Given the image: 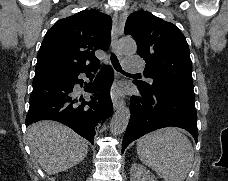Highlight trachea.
I'll use <instances>...</instances> for the list:
<instances>
[{
	"instance_id": "trachea-1",
	"label": "trachea",
	"mask_w": 228,
	"mask_h": 181,
	"mask_svg": "<svg viewBox=\"0 0 228 181\" xmlns=\"http://www.w3.org/2000/svg\"><path fill=\"white\" fill-rule=\"evenodd\" d=\"M110 59H111V63H112V65H113V67L115 68V70H117V71H119L120 73H123V74L126 73V72H124V71L122 70L118 58H117L116 55L113 54L112 52H111Z\"/></svg>"
}]
</instances>
